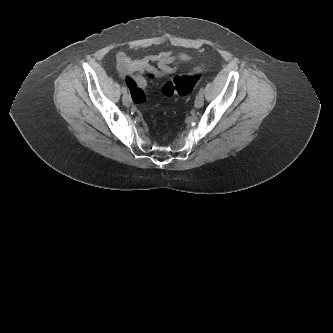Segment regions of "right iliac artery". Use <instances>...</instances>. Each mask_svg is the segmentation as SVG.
Here are the masks:
<instances>
[{
  "label": "right iliac artery",
  "instance_id": "82829eb1",
  "mask_svg": "<svg viewBox=\"0 0 333 333\" xmlns=\"http://www.w3.org/2000/svg\"><path fill=\"white\" fill-rule=\"evenodd\" d=\"M121 90H122L123 94L127 93V88L125 86H123Z\"/></svg>",
  "mask_w": 333,
  "mask_h": 333
}]
</instances>
